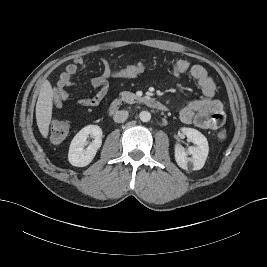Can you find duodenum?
I'll use <instances>...</instances> for the list:
<instances>
[{
  "label": "duodenum",
  "instance_id": "1",
  "mask_svg": "<svg viewBox=\"0 0 267 267\" xmlns=\"http://www.w3.org/2000/svg\"><path fill=\"white\" fill-rule=\"evenodd\" d=\"M141 101L147 106H149L150 108H153L155 110L162 111V112L167 110V107L165 104H163L162 102H160L159 100L153 97H145ZM122 105H123V100L121 99L114 100L109 106V113L110 114L116 113L117 111L120 110Z\"/></svg>",
  "mask_w": 267,
  "mask_h": 267
}]
</instances>
